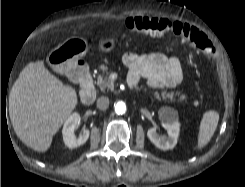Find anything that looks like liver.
I'll return each instance as SVG.
<instances>
[{
  "instance_id": "1",
  "label": "liver",
  "mask_w": 245,
  "mask_h": 187,
  "mask_svg": "<svg viewBox=\"0 0 245 187\" xmlns=\"http://www.w3.org/2000/svg\"><path fill=\"white\" fill-rule=\"evenodd\" d=\"M78 103L77 93L44 66L29 63L9 94V114L17 137L37 152H46Z\"/></svg>"
}]
</instances>
